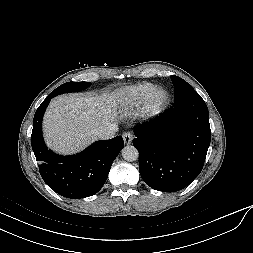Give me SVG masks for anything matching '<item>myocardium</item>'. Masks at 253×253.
I'll use <instances>...</instances> for the list:
<instances>
[{
    "label": "myocardium",
    "mask_w": 253,
    "mask_h": 253,
    "mask_svg": "<svg viewBox=\"0 0 253 253\" xmlns=\"http://www.w3.org/2000/svg\"><path fill=\"white\" fill-rule=\"evenodd\" d=\"M169 93L166 89L155 88L144 105V113L148 116L158 114L168 103Z\"/></svg>",
    "instance_id": "myocardium-1"
}]
</instances>
